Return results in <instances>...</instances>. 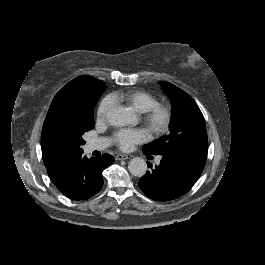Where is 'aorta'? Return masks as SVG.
I'll list each match as a JSON object with an SVG mask.
<instances>
[{
  "label": "aorta",
  "mask_w": 265,
  "mask_h": 265,
  "mask_svg": "<svg viewBox=\"0 0 265 265\" xmlns=\"http://www.w3.org/2000/svg\"><path fill=\"white\" fill-rule=\"evenodd\" d=\"M108 120L113 126L123 127L130 124L128 110L124 107H117L109 112ZM128 169L134 176H142L147 170L146 161L140 157H134L129 161Z\"/></svg>",
  "instance_id": "obj_1"
}]
</instances>
